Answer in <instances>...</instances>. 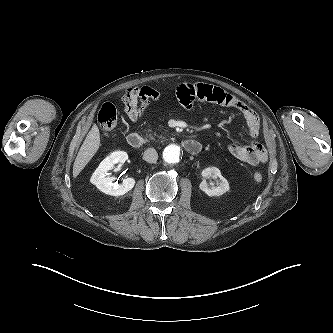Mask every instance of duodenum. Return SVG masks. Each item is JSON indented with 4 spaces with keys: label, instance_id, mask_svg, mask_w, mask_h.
I'll return each mask as SVG.
<instances>
[{
    "label": "duodenum",
    "instance_id": "obj_1",
    "mask_svg": "<svg viewBox=\"0 0 333 333\" xmlns=\"http://www.w3.org/2000/svg\"><path fill=\"white\" fill-rule=\"evenodd\" d=\"M127 142L132 148H140L143 145L144 140L140 134L132 132L128 134ZM183 147L186 150V152H188L191 155L198 154L202 148L200 142L193 139H185L183 141Z\"/></svg>",
    "mask_w": 333,
    "mask_h": 333
}]
</instances>
